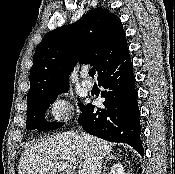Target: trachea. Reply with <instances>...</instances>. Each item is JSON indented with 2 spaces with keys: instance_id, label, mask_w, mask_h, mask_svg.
<instances>
[{
  "instance_id": "obj_1",
  "label": "trachea",
  "mask_w": 175,
  "mask_h": 174,
  "mask_svg": "<svg viewBox=\"0 0 175 174\" xmlns=\"http://www.w3.org/2000/svg\"><path fill=\"white\" fill-rule=\"evenodd\" d=\"M89 75H90L91 77H94V75H95V70H94V69H91V70L89 71Z\"/></svg>"
}]
</instances>
